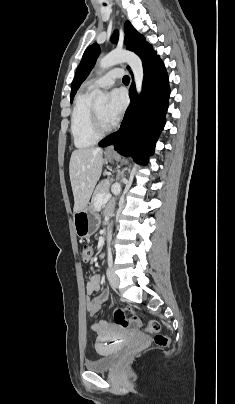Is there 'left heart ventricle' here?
Listing matches in <instances>:
<instances>
[{
  "label": "left heart ventricle",
  "instance_id": "left-heart-ventricle-1",
  "mask_svg": "<svg viewBox=\"0 0 235 404\" xmlns=\"http://www.w3.org/2000/svg\"><path fill=\"white\" fill-rule=\"evenodd\" d=\"M95 111L97 112V114L99 115L100 119L102 120V122L105 125H109V123L107 122V120L105 119L104 116V111H105V105H99L94 107Z\"/></svg>",
  "mask_w": 235,
  "mask_h": 404
}]
</instances>
